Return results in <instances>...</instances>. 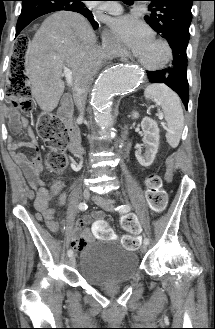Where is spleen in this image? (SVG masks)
Masks as SVG:
<instances>
[{"label": "spleen", "instance_id": "1", "mask_svg": "<svg viewBox=\"0 0 215 329\" xmlns=\"http://www.w3.org/2000/svg\"><path fill=\"white\" fill-rule=\"evenodd\" d=\"M144 96L146 99L154 100L162 107L167 122V142L172 148H176L184 128V115L180 98L164 84L149 85L144 91Z\"/></svg>", "mask_w": 215, "mask_h": 329}]
</instances>
